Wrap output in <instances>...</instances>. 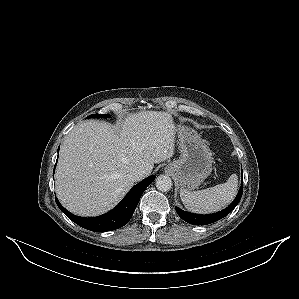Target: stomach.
Here are the masks:
<instances>
[{
  "label": "stomach",
  "mask_w": 299,
  "mask_h": 299,
  "mask_svg": "<svg viewBox=\"0 0 299 299\" xmlns=\"http://www.w3.org/2000/svg\"><path fill=\"white\" fill-rule=\"evenodd\" d=\"M181 155L166 166L181 189L197 188L212 171V157L205 140L193 128L176 124Z\"/></svg>",
  "instance_id": "0dacf381"
}]
</instances>
